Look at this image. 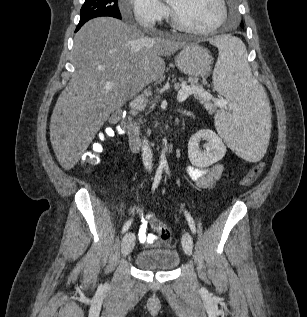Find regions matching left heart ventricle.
<instances>
[{
  "label": "left heart ventricle",
  "mask_w": 307,
  "mask_h": 317,
  "mask_svg": "<svg viewBox=\"0 0 307 317\" xmlns=\"http://www.w3.org/2000/svg\"><path fill=\"white\" fill-rule=\"evenodd\" d=\"M177 17L187 26L206 29L220 16L217 0H168Z\"/></svg>",
  "instance_id": "1"
}]
</instances>
